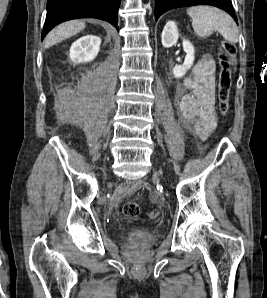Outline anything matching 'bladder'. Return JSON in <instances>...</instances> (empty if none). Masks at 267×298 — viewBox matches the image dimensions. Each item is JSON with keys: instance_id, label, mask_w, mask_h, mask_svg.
<instances>
[{"instance_id": "bladder-1", "label": "bladder", "mask_w": 267, "mask_h": 298, "mask_svg": "<svg viewBox=\"0 0 267 298\" xmlns=\"http://www.w3.org/2000/svg\"><path fill=\"white\" fill-rule=\"evenodd\" d=\"M159 237V233L156 230H150L142 235H140L137 239L144 245H150L157 240ZM132 235L129 236V239H133Z\"/></svg>"}]
</instances>
